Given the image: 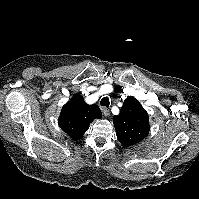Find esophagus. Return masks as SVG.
I'll return each instance as SVG.
<instances>
[{
  "label": "esophagus",
  "instance_id": "esophagus-1",
  "mask_svg": "<svg viewBox=\"0 0 199 199\" xmlns=\"http://www.w3.org/2000/svg\"><path fill=\"white\" fill-rule=\"evenodd\" d=\"M102 112H103V114H104L105 117L109 116V110L106 107L102 108Z\"/></svg>",
  "mask_w": 199,
  "mask_h": 199
}]
</instances>
